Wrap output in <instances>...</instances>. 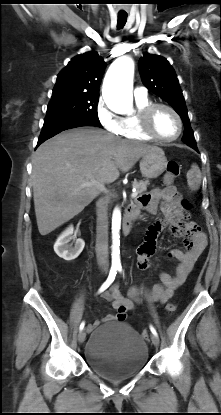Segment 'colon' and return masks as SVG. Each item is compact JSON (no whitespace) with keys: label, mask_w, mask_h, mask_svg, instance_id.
<instances>
[{"label":"colon","mask_w":221,"mask_h":415,"mask_svg":"<svg viewBox=\"0 0 221 415\" xmlns=\"http://www.w3.org/2000/svg\"><path fill=\"white\" fill-rule=\"evenodd\" d=\"M180 173V164L176 161H169L166 165V173H165V183L166 184H170L173 182V180L175 178L178 177ZM182 201H184L185 207H188L189 211L192 209V204L188 199H183ZM165 310L168 313H172L176 310V304L175 303H168L165 307ZM143 336L147 337L148 336V332L144 331L143 332Z\"/></svg>","instance_id":"1"}]
</instances>
